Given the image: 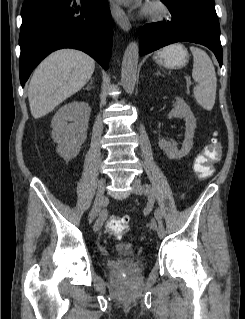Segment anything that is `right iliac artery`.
I'll return each mask as SVG.
<instances>
[{"label": "right iliac artery", "instance_id": "right-iliac-artery-1", "mask_svg": "<svg viewBox=\"0 0 245 319\" xmlns=\"http://www.w3.org/2000/svg\"><path fill=\"white\" fill-rule=\"evenodd\" d=\"M105 216V211H102V213H101V219H98L96 222L98 223V225H99V229L101 228V226H102V219H103V217Z\"/></svg>", "mask_w": 245, "mask_h": 319}]
</instances>
